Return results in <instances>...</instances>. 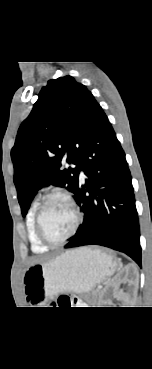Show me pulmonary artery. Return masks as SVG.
I'll return each mask as SVG.
<instances>
[{"label":"pulmonary artery","mask_w":152,"mask_h":369,"mask_svg":"<svg viewBox=\"0 0 152 369\" xmlns=\"http://www.w3.org/2000/svg\"><path fill=\"white\" fill-rule=\"evenodd\" d=\"M81 176H83V172H81Z\"/></svg>","instance_id":"pulmonary-artery-1"}]
</instances>
